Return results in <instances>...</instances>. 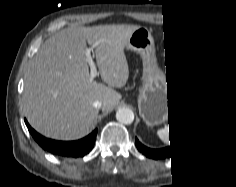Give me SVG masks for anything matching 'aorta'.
Segmentation results:
<instances>
[{
  "label": "aorta",
  "instance_id": "aorta-1",
  "mask_svg": "<svg viewBox=\"0 0 236 187\" xmlns=\"http://www.w3.org/2000/svg\"><path fill=\"white\" fill-rule=\"evenodd\" d=\"M116 119L124 124H131L134 121V113L130 108L122 107L116 112Z\"/></svg>",
  "mask_w": 236,
  "mask_h": 187
}]
</instances>
